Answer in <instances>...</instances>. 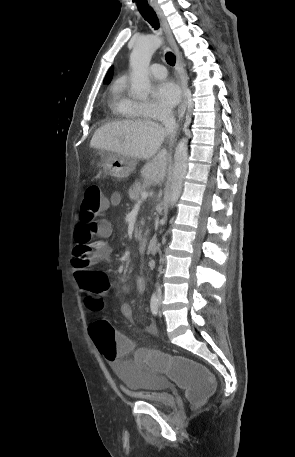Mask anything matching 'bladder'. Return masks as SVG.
Instances as JSON below:
<instances>
[{
    "instance_id": "31cf9c89",
    "label": "bladder",
    "mask_w": 295,
    "mask_h": 457,
    "mask_svg": "<svg viewBox=\"0 0 295 457\" xmlns=\"http://www.w3.org/2000/svg\"><path fill=\"white\" fill-rule=\"evenodd\" d=\"M112 369L127 390L138 393L152 404L162 405L164 411H173L174 396L165 388V375L146 374L141 366H124L122 361L112 363Z\"/></svg>"
}]
</instances>
